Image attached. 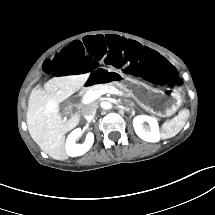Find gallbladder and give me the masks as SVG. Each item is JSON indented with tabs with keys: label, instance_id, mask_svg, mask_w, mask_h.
<instances>
[{
	"label": "gallbladder",
	"instance_id": "obj_1",
	"mask_svg": "<svg viewBox=\"0 0 215 215\" xmlns=\"http://www.w3.org/2000/svg\"><path fill=\"white\" fill-rule=\"evenodd\" d=\"M75 111V107L71 106L69 108V106L65 105L64 107H62V112L66 115H70L71 113H73Z\"/></svg>",
	"mask_w": 215,
	"mask_h": 215
}]
</instances>
